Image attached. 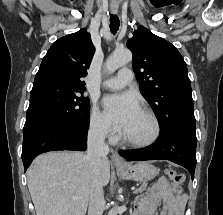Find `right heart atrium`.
Returning a JSON list of instances; mask_svg holds the SVG:
<instances>
[{"mask_svg":"<svg viewBox=\"0 0 223 215\" xmlns=\"http://www.w3.org/2000/svg\"><path fill=\"white\" fill-rule=\"evenodd\" d=\"M89 127L92 134L100 139L114 138L117 135L106 117L96 107L91 111Z\"/></svg>","mask_w":223,"mask_h":215,"instance_id":"obj_1","label":"right heart atrium"}]
</instances>
